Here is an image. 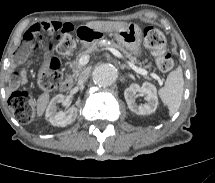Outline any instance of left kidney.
Returning <instances> with one entry per match:
<instances>
[{
	"instance_id": "1",
	"label": "left kidney",
	"mask_w": 215,
	"mask_h": 183,
	"mask_svg": "<svg viewBox=\"0 0 215 183\" xmlns=\"http://www.w3.org/2000/svg\"><path fill=\"white\" fill-rule=\"evenodd\" d=\"M137 92H140L145 97L147 103L143 105H137L135 103ZM124 97L128 108L138 115H149L155 112L158 105L156 87L149 82H144L142 86L136 83L131 84L125 89Z\"/></svg>"
}]
</instances>
